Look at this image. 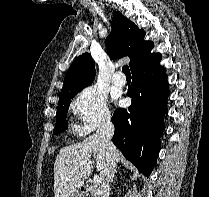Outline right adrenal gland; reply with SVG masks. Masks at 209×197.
<instances>
[{
	"label": "right adrenal gland",
	"instance_id": "2a0ac1e0",
	"mask_svg": "<svg viewBox=\"0 0 209 197\" xmlns=\"http://www.w3.org/2000/svg\"><path fill=\"white\" fill-rule=\"evenodd\" d=\"M116 170L114 171V173H113V176H112V179H111V182H113L114 180H115V174H116Z\"/></svg>",
	"mask_w": 209,
	"mask_h": 197
}]
</instances>
